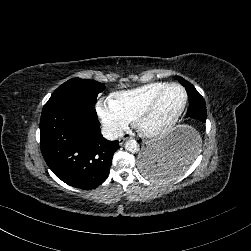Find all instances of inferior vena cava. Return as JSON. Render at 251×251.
I'll return each mask as SVG.
<instances>
[{"label": "inferior vena cava", "mask_w": 251, "mask_h": 251, "mask_svg": "<svg viewBox=\"0 0 251 251\" xmlns=\"http://www.w3.org/2000/svg\"><path fill=\"white\" fill-rule=\"evenodd\" d=\"M102 135L108 140H116L124 136V132L121 128L115 125L106 124L101 129Z\"/></svg>", "instance_id": "inferior-vena-cava-1"}]
</instances>
